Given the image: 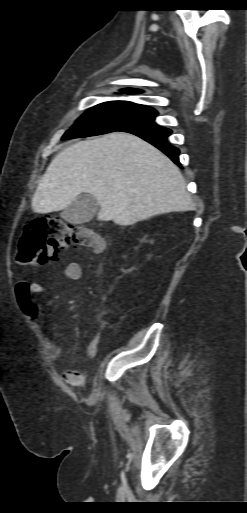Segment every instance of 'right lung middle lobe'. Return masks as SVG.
I'll return each instance as SVG.
<instances>
[{
    "label": "right lung middle lobe",
    "mask_w": 247,
    "mask_h": 513,
    "mask_svg": "<svg viewBox=\"0 0 247 513\" xmlns=\"http://www.w3.org/2000/svg\"><path fill=\"white\" fill-rule=\"evenodd\" d=\"M157 114L154 108L128 101L101 103L86 111L61 140L121 131L129 125L154 120Z\"/></svg>",
    "instance_id": "dd1d6c3e"
}]
</instances>
